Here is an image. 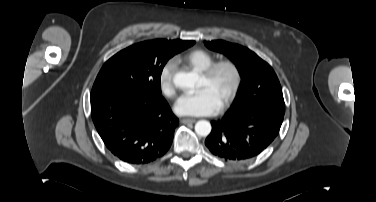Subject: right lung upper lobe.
<instances>
[{
    "label": "right lung upper lobe",
    "mask_w": 376,
    "mask_h": 202,
    "mask_svg": "<svg viewBox=\"0 0 376 202\" xmlns=\"http://www.w3.org/2000/svg\"><path fill=\"white\" fill-rule=\"evenodd\" d=\"M162 41H165V40L159 39V40H153V41H149V42H152V43L156 44V43H159V42H162Z\"/></svg>",
    "instance_id": "1"
}]
</instances>
